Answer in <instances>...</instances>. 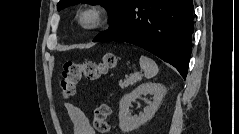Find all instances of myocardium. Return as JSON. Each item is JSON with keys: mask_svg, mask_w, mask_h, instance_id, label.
Wrapping results in <instances>:
<instances>
[{"mask_svg": "<svg viewBox=\"0 0 239 134\" xmlns=\"http://www.w3.org/2000/svg\"><path fill=\"white\" fill-rule=\"evenodd\" d=\"M107 20L106 12L98 5H90L79 11L77 23L85 31H94L102 27Z\"/></svg>", "mask_w": 239, "mask_h": 134, "instance_id": "1", "label": "myocardium"}]
</instances>
